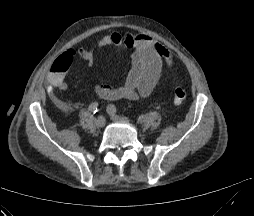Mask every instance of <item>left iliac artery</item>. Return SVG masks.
I'll return each mask as SVG.
<instances>
[{"label": "left iliac artery", "mask_w": 254, "mask_h": 216, "mask_svg": "<svg viewBox=\"0 0 254 216\" xmlns=\"http://www.w3.org/2000/svg\"><path fill=\"white\" fill-rule=\"evenodd\" d=\"M107 111H108V112H112V113H117V108H116L115 105L110 104V105L107 107Z\"/></svg>", "instance_id": "1"}]
</instances>
